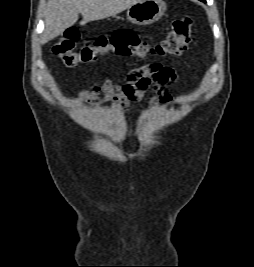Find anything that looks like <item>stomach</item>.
Segmentation results:
<instances>
[{
  "label": "stomach",
  "instance_id": "obj_1",
  "mask_svg": "<svg viewBox=\"0 0 254 267\" xmlns=\"http://www.w3.org/2000/svg\"><path fill=\"white\" fill-rule=\"evenodd\" d=\"M166 11L163 0H142L127 10V19L134 25L146 26L158 21Z\"/></svg>",
  "mask_w": 254,
  "mask_h": 267
}]
</instances>
